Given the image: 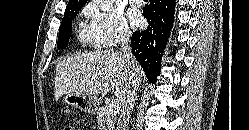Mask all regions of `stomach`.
<instances>
[{
    "mask_svg": "<svg viewBox=\"0 0 249 130\" xmlns=\"http://www.w3.org/2000/svg\"><path fill=\"white\" fill-rule=\"evenodd\" d=\"M63 102L82 112L93 114L98 110L99 101L96 96L88 94L69 93L63 97Z\"/></svg>",
    "mask_w": 249,
    "mask_h": 130,
    "instance_id": "1",
    "label": "stomach"
}]
</instances>
